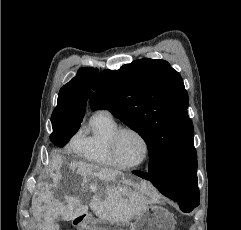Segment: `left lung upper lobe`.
<instances>
[{"instance_id":"5c2ea615","label":"left lung upper lobe","mask_w":241,"mask_h":230,"mask_svg":"<svg viewBox=\"0 0 241 230\" xmlns=\"http://www.w3.org/2000/svg\"><path fill=\"white\" fill-rule=\"evenodd\" d=\"M92 89L93 110H110L145 140L149 158L159 156L168 163L167 192L191 193L197 183V154L180 74L165 60L145 58L102 71Z\"/></svg>"}]
</instances>
